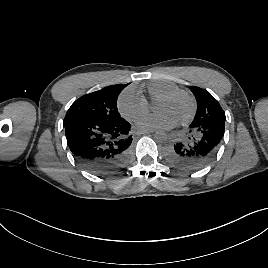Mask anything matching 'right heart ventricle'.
Masks as SVG:
<instances>
[{
    "mask_svg": "<svg viewBox=\"0 0 268 268\" xmlns=\"http://www.w3.org/2000/svg\"><path fill=\"white\" fill-rule=\"evenodd\" d=\"M178 89L176 83L168 79H155L139 88L138 93L150 103L156 102L166 93Z\"/></svg>",
    "mask_w": 268,
    "mask_h": 268,
    "instance_id": "obj_1",
    "label": "right heart ventricle"
}]
</instances>
